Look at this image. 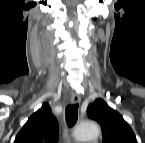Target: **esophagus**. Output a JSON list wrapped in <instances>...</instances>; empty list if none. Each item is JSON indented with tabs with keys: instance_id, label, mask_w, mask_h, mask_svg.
Here are the masks:
<instances>
[{
	"instance_id": "1",
	"label": "esophagus",
	"mask_w": 145,
	"mask_h": 143,
	"mask_svg": "<svg viewBox=\"0 0 145 143\" xmlns=\"http://www.w3.org/2000/svg\"><path fill=\"white\" fill-rule=\"evenodd\" d=\"M81 100V97L78 93L74 92L72 93V96H71V103L72 104H78Z\"/></svg>"
}]
</instances>
